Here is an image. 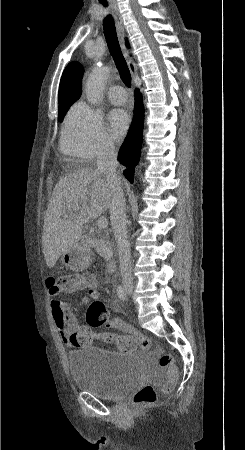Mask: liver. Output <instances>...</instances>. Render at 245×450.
Here are the masks:
<instances>
[{
    "label": "liver",
    "instance_id": "1",
    "mask_svg": "<svg viewBox=\"0 0 245 450\" xmlns=\"http://www.w3.org/2000/svg\"><path fill=\"white\" fill-rule=\"evenodd\" d=\"M111 188L97 169H77L55 185L44 218L42 247L53 268L60 256L81 237L83 225L111 205Z\"/></svg>",
    "mask_w": 245,
    "mask_h": 450
}]
</instances>
